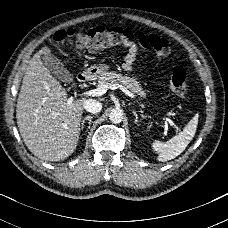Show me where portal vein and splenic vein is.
Masks as SVG:
<instances>
[{
    "instance_id": "1",
    "label": "portal vein and splenic vein",
    "mask_w": 228,
    "mask_h": 228,
    "mask_svg": "<svg viewBox=\"0 0 228 228\" xmlns=\"http://www.w3.org/2000/svg\"><path fill=\"white\" fill-rule=\"evenodd\" d=\"M113 88L115 89V86H113ZM106 86L105 85H101L100 87L98 88H94V89H91V90H88V91H82L76 95H71L69 96V99L74 101L77 97H86V96H89V97H99V96H102L106 93ZM127 92V91H126ZM183 109V106L182 105H177L176 107L173 108L172 111H168L166 112L165 115L162 116V119L164 120V123L165 125L163 126V129H162V139H167V134H168V131H169V127L172 128L173 130H175V132H180L181 128L180 126H178L177 124H175L174 122H172L171 119H169V117H175V116H180V111L178 110H182Z\"/></svg>"
}]
</instances>
